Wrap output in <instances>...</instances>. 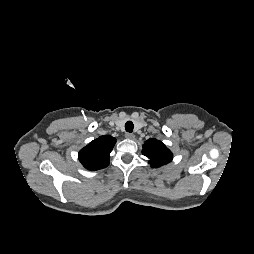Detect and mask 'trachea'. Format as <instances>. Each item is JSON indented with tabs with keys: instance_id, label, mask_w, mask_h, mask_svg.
I'll list each match as a JSON object with an SVG mask.
<instances>
[{
	"instance_id": "trachea-1",
	"label": "trachea",
	"mask_w": 254,
	"mask_h": 254,
	"mask_svg": "<svg viewBox=\"0 0 254 254\" xmlns=\"http://www.w3.org/2000/svg\"><path fill=\"white\" fill-rule=\"evenodd\" d=\"M134 124L131 121L126 122L125 124V130L129 133L133 131Z\"/></svg>"
}]
</instances>
